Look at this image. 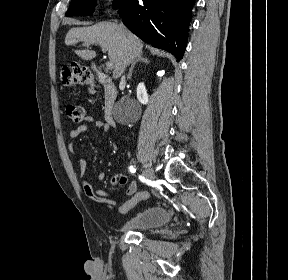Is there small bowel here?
Segmentation results:
<instances>
[{"mask_svg":"<svg viewBox=\"0 0 288 280\" xmlns=\"http://www.w3.org/2000/svg\"><path fill=\"white\" fill-rule=\"evenodd\" d=\"M90 126H93L94 128L100 129L102 131L108 130V125L105 124L103 121L96 119L93 116H87L84 119V122L82 125L78 126L77 128H73L70 130L69 135L71 138H76L85 131L88 130ZM69 151L72 154H76V148L74 143H70L69 145ZM87 162L88 159L86 156H80L79 158V165H80V178L82 180V189L85 194V196L90 199L92 202L100 205L105 206H114L117 203V195L114 193H110L108 191H105L101 188L94 187L86 178V169H87ZM106 178V174L104 172H100L97 175V181L102 182ZM110 186L112 188L114 187H126V196L128 199L119 207V209L129 200L134 198L139 192L137 183L135 181H129L128 178L121 174L116 173L113 175V177L110 180ZM136 204L128 208L125 212H128L132 207H134Z\"/></svg>","mask_w":288,"mask_h":280,"instance_id":"c3829d8e","label":"small bowel"}]
</instances>
